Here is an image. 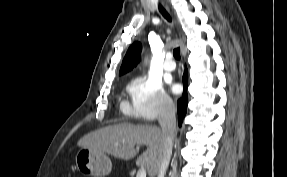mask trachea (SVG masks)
<instances>
[{"label":"trachea","mask_w":287,"mask_h":177,"mask_svg":"<svg viewBox=\"0 0 287 177\" xmlns=\"http://www.w3.org/2000/svg\"><path fill=\"white\" fill-rule=\"evenodd\" d=\"M159 10L162 13V15L164 16V18L166 20H168L169 22H171V18L168 15V13L165 11V9L161 6H159ZM173 56L175 57V59L180 60V48H176L173 50Z\"/></svg>","instance_id":"1"}]
</instances>
